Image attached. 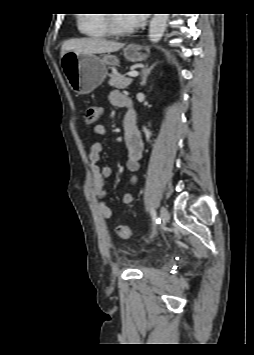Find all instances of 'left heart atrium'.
<instances>
[{
  "label": "left heart atrium",
  "instance_id": "left-heart-atrium-1",
  "mask_svg": "<svg viewBox=\"0 0 254 355\" xmlns=\"http://www.w3.org/2000/svg\"><path fill=\"white\" fill-rule=\"evenodd\" d=\"M125 17L132 27H140L145 24L147 14H145V13H130V14H126Z\"/></svg>",
  "mask_w": 254,
  "mask_h": 355
}]
</instances>
